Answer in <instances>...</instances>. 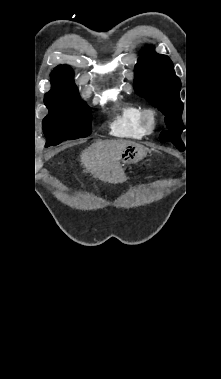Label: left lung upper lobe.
<instances>
[{
	"instance_id": "5c2ea615",
	"label": "left lung upper lobe",
	"mask_w": 221,
	"mask_h": 379,
	"mask_svg": "<svg viewBox=\"0 0 221 379\" xmlns=\"http://www.w3.org/2000/svg\"><path fill=\"white\" fill-rule=\"evenodd\" d=\"M134 71L137 94L165 115L169 130L161 133L160 140L172 142L178 149L184 150L181 140L183 103L179 97L181 81L175 75L172 61L168 56L156 53L153 47H145L140 52Z\"/></svg>"
}]
</instances>
